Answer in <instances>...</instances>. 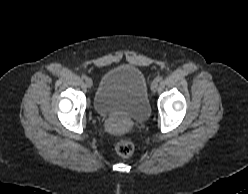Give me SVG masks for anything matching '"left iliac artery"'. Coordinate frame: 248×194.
<instances>
[{
	"instance_id": "44dca946",
	"label": "left iliac artery",
	"mask_w": 248,
	"mask_h": 194,
	"mask_svg": "<svg viewBox=\"0 0 248 194\" xmlns=\"http://www.w3.org/2000/svg\"><path fill=\"white\" fill-rule=\"evenodd\" d=\"M156 80H157L158 82H162V78H161V77H157Z\"/></svg>"
}]
</instances>
